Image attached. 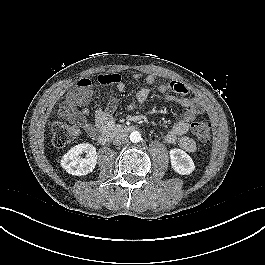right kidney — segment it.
<instances>
[{
	"instance_id": "ca27d5eb",
	"label": "right kidney",
	"mask_w": 265,
	"mask_h": 265,
	"mask_svg": "<svg viewBox=\"0 0 265 265\" xmlns=\"http://www.w3.org/2000/svg\"><path fill=\"white\" fill-rule=\"evenodd\" d=\"M83 153H86L85 158L80 157ZM60 164L69 174L87 175L97 164L96 149L89 143L78 144L62 157Z\"/></svg>"
}]
</instances>
